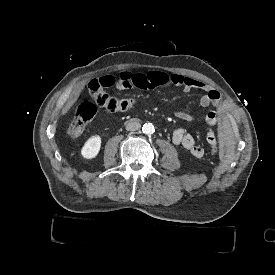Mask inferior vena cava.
I'll return each instance as SVG.
<instances>
[{
	"label": "inferior vena cava",
	"instance_id": "obj_1",
	"mask_svg": "<svg viewBox=\"0 0 275 275\" xmlns=\"http://www.w3.org/2000/svg\"><path fill=\"white\" fill-rule=\"evenodd\" d=\"M141 127L139 122H129L126 124L125 129L127 131H137Z\"/></svg>",
	"mask_w": 275,
	"mask_h": 275
}]
</instances>
